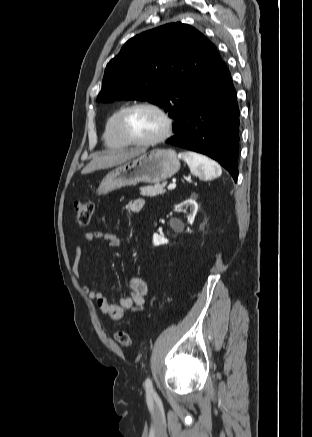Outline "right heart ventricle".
Masks as SVG:
<instances>
[{
    "mask_svg": "<svg viewBox=\"0 0 312 437\" xmlns=\"http://www.w3.org/2000/svg\"><path fill=\"white\" fill-rule=\"evenodd\" d=\"M124 109L125 107H120L115 110L105 123L103 139L106 146L111 149H123L129 146L118 130V119Z\"/></svg>",
    "mask_w": 312,
    "mask_h": 437,
    "instance_id": "1",
    "label": "right heart ventricle"
}]
</instances>
